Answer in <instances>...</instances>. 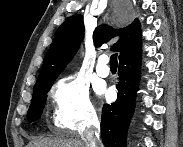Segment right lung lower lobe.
<instances>
[{
  "label": "right lung lower lobe",
  "instance_id": "obj_1",
  "mask_svg": "<svg viewBox=\"0 0 183 147\" xmlns=\"http://www.w3.org/2000/svg\"><path fill=\"white\" fill-rule=\"evenodd\" d=\"M118 98L102 109L101 134L105 147H124L127 126L134 111L141 66V50L119 59Z\"/></svg>",
  "mask_w": 183,
  "mask_h": 147
}]
</instances>
